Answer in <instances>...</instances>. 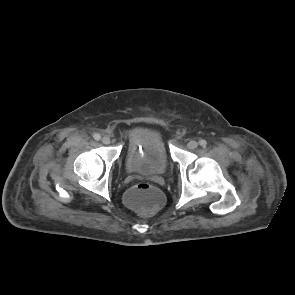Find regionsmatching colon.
<instances>
[{
    "label": "colon",
    "instance_id": "1",
    "mask_svg": "<svg viewBox=\"0 0 295 295\" xmlns=\"http://www.w3.org/2000/svg\"><path fill=\"white\" fill-rule=\"evenodd\" d=\"M125 201L131 208L148 214L159 208L162 203V194L156 187L140 183L127 191Z\"/></svg>",
    "mask_w": 295,
    "mask_h": 295
}]
</instances>
